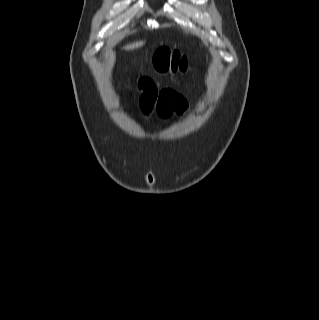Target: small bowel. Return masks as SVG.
<instances>
[{
	"label": "small bowel",
	"mask_w": 319,
	"mask_h": 320,
	"mask_svg": "<svg viewBox=\"0 0 319 320\" xmlns=\"http://www.w3.org/2000/svg\"><path fill=\"white\" fill-rule=\"evenodd\" d=\"M141 108L145 114L156 111L163 118H169L173 113L182 115L187 109L185 99L171 89L158 91L154 82L147 77L140 81Z\"/></svg>",
	"instance_id": "small-bowel-1"
}]
</instances>
